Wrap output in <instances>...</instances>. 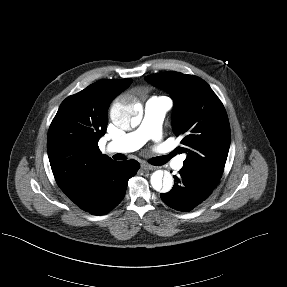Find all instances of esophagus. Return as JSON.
Masks as SVG:
<instances>
[{
	"label": "esophagus",
	"mask_w": 287,
	"mask_h": 287,
	"mask_svg": "<svg viewBox=\"0 0 287 287\" xmlns=\"http://www.w3.org/2000/svg\"><path fill=\"white\" fill-rule=\"evenodd\" d=\"M141 167H142V169H144V170H155V169H156L155 166L150 165V164H148V163H143V164L141 165Z\"/></svg>",
	"instance_id": "34e87169"
}]
</instances>
